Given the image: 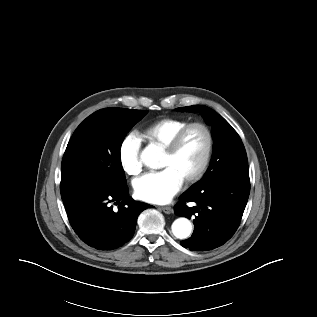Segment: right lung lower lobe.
Here are the masks:
<instances>
[{"instance_id":"right-lung-lower-lobe-1","label":"right lung lower lobe","mask_w":317,"mask_h":317,"mask_svg":"<svg viewBox=\"0 0 317 317\" xmlns=\"http://www.w3.org/2000/svg\"><path fill=\"white\" fill-rule=\"evenodd\" d=\"M116 201L118 210L110 206ZM69 222L79 238L99 250L123 246L135 231L139 214L151 207L134 201L126 183L96 182L64 201Z\"/></svg>"}]
</instances>
